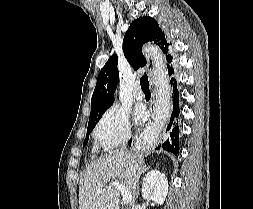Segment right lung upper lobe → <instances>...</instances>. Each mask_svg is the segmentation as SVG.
I'll return each mask as SVG.
<instances>
[{
    "mask_svg": "<svg viewBox=\"0 0 253 209\" xmlns=\"http://www.w3.org/2000/svg\"><path fill=\"white\" fill-rule=\"evenodd\" d=\"M147 42H153L160 47L161 51L166 55L168 72L173 71L170 43L165 33L159 28L157 21L146 16L134 20L123 39L124 55L134 70L144 67L147 63L146 58L142 54V45ZM117 63V55H112L101 69L91 99L89 119L102 116L113 104V93L119 79Z\"/></svg>",
    "mask_w": 253,
    "mask_h": 209,
    "instance_id": "right-lung-upper-lobe-1",
    "label": "right lung upper lobe"
}]
</instances>
